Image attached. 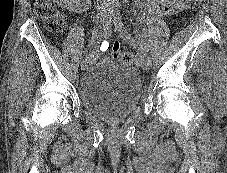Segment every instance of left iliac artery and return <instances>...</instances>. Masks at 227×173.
I'll use <instances>...</instances> for the list:
<instances>
[{"label":"left iliac artery","mask_w":227,"mask_h":173,"mask_svg":"<svg viewBox=\"0 0 227 173\" xmlns=\"http://www.w3.org/2000/svg\"><path fill=\"white\" fill-rule=\"evenodd\" d=\"M113 22L115 25V29L128 43L139 47H143L146 44V39H144L143 41H138L132 38L131 34L127 31L123 24L119 10L115 11L113 15ZM148 58H150V56H148Z\"/></svg>","instance_id":"left-iliac-artery-1"}]
</instances>
